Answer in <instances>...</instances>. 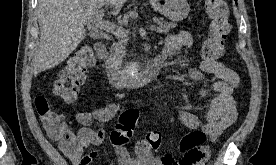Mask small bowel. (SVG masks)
<instances>
[{"label":"small bowel","mask_w":276,"mask_h":165,"mask_svg":"<svg viewBox=\"0 0 276 165\" xmlns=\"http://www.w3.org/2000/svg\"><path fill=\"white\" fill-rule=\"evenodd\" d=\"M193 43L192 35L187 31L169 35L166 38L162 52V58L170 57ZM209 74L217 78L211 89L216 96L209 101L205 120L202 121L192 112L179 108L178 118L187 129L201 130L208 135L211 141L216 140L223 131L235 123L237 119V109L233 99L234 92L238 89L240 78L236 71L225 66L216 60H203L199 68H191L189 77L195 82L204 79V75ZM200 94L206 97L207 90L201 89ZM118 105L111 103L105 107L96 108L92 111H79L74 114L75 121L81 125L76 133H72L77 140L78 147L74 151L63 149L59 142L60 149L70 159L74 165H90L97 157L98 153L94 147L101 145L106 136V125L116 115ZM46 126V122L42 119ZM88 148L89 152L84 153ZM209 148L203 146L198 156L174 158L166 154L156 156L153 153H144L137 150V157L131 158L126 148L115 147V157L109 165H134L144 163L148 165H204L209 157Z\"/></svg>","instance_id":"small-bowel-1"}]
</instances>
